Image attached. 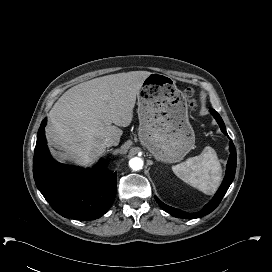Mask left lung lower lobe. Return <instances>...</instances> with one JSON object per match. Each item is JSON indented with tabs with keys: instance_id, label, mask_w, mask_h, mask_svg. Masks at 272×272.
Listing matches in <instances>:
<instances>
[{
	"instance_id": "left-lung-lower-lobe-1",
	"label": "left lung lower lobe",
	"mask_w": 272,
	"mask_h": 272,
	"mask_svg": "<svg viewBox=\"0 0 272 272\" xmlns=\"http://www.w3.org/2000/svg\"><path fill=\"white\" fill-rule=\"evenodd\" d=\"M210 112L214 116L216 121L218 122L222 132L227 135V132L225 129V124H224L222 118L220 117V115L214 109H210ZM229 146H230V157H229L228 164H227L225 178H224L219 190L217 191V193L213 197V199L208 204H206L200 212H198V213L183 212L179 209H175L170 206H167L166 204L161 202L156 197V201L159 204V206L162 207L166 212H168L172 216L179 217V218H185V219H194V218L202 217V216L207 215L210 212H212L218 206L220 201L222 200L223 196L225 195L226 191L228 190V188H229L230 184L232 183L234 176H235L236 150H235V146L232 141H230Z\"/></svg>"
}]
</instances>
